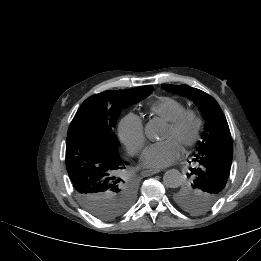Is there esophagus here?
Here are the masks:
<instances>
[{
    "instance_id": "34e87169",
    "label": "esophagus",
    "mask_w": 261,
    "mask_h": 261,
    "mask_svg": "<svg viewBox=\"0 0 261 261\" xmlns=\"http://www.w3.org/2000/svg\"><path fill=\"white\" fill-rule=\"evenodd\" d=\"M159 172H160V170H158V169H150V170H144V171H142V172H141V175H142L143 177H148V176L157 174V173H159Z\"/></svg>"
}]
</instances>
